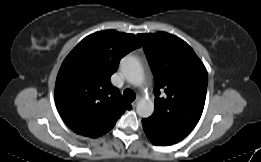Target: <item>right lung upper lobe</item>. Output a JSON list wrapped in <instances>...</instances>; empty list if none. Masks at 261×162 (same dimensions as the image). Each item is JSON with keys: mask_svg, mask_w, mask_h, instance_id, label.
I'll list each match as a JSON object with an SVG mask.
<instances>
[{"mask_svg": "<svg viewBox=\"0 0 261 162\" xmlns=\"http://www.w3.org/2000/svg\"><path fill=\"white\" fill-rule=\"evenodd\" d=\"M141 46L135 35L115 30L84 38L65 58L55 84V103L75 133L96 138L108 132L131 105L110 84L120 59Z\"/></svg>", "mask_w": 261, "mask_h": 162, "instance_id": "obj_1", "label": "right lung upper lobe"}]
</instances>
